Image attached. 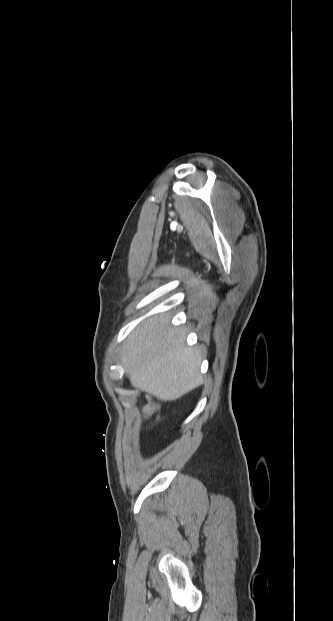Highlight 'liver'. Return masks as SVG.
I'll use <instances>...</instances> for the list:
<instances>
[{"label": "liver", "mask_w": 333, "mask_h": 621, "mask_svg": "<svg viewBox=\"0 0 333 621\" xmlns=\"http://www.w3.org/2000/svg\"><path fill=\"white\" fill-rule=\"evenodd\" d=\"M181 328L169 326L167 314L143 322L128 336L121 364L131 383L162 401H173L201 383L200 349L187 347Z\"/></svg>", "instance_id": "1"}]
</instances>
